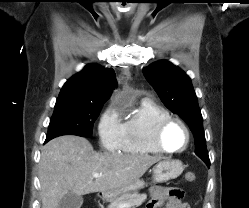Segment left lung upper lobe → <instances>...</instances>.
<instances>
[{
  "mask_svg": "<svg viewBox=\"0 0 249 208\" xmlns=\"http://www.w3.org/2000/svg\"><path fill=\"white\" fill-rule=\"evenodd\" d=\"M143 73L164 105L188 124L195 136V153L209 167L203 119L189 76L166 60L150 64Z\"/></svg>",
  "mask_w": 249,
  "mask_h": 208,
  "instance_id": "obj_1",
  "label": "left lung upper lobe"
}]
</instances>
